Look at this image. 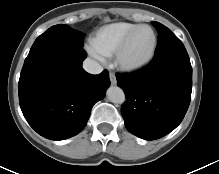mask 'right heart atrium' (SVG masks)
I'll return each instance as SVG.
<instances>
[{
    "label": "right heart atrium",
    "mask_w": 219,
    "mask_h": 174,
    "mask_svg": "<svg viewBox=\"0 0 219 174\" xmlns=\"http://www.w3.org/2000/svg\"><path fill=\"white\" fill-rule=\"evenodd\" d=\"M86 51L94 58L101 60L102 54H100L92 45L86 46Z\"/></svg>",
    "instance_id": "1"
}]
</instances>
